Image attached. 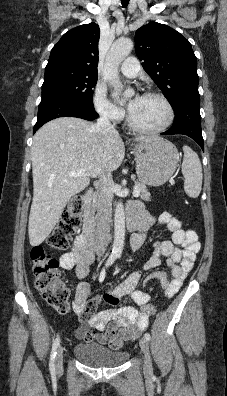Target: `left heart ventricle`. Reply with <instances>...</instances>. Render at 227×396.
<instances>
[{
	"instance_id": "1",
	"label": "left heart ventricle",
	"mask_w": 227,
	"mask_h": 396,
	"mask_svg": "<svg viewBox=\"0 0 227 396\" xmlns=\"http://www.w3.org/2000/svg\"><path fill=\"white\" fill-rule=\"evenodd\" d=\"M130 113L136 124L144 128L158 127L167 118V111L161 100L150 96H141L130 108Z\"/></svg>"
}]
</instances>
